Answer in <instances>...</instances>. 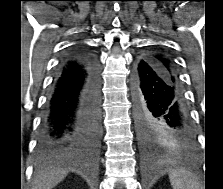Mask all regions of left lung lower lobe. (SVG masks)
Returning <instances> with one entry per match:
<instances>
[{
	"label": "left lung lower lobe",
	"instance_id": "1",
	"mask_svg": "<svg viewBox=\"0 0 223 189\" xmlns=\"http://www.w3.org/2000/svg\"><path fill=\"white\" fill-rule=\"evenodd\" d=\"M133 97L139 129L159 124L184 145H192L195 132L180 84L158 64L139 59L133 75Z\"/></svg>",
	"mask_w": 223,
	"mask_h": 189
}]
</instances>
